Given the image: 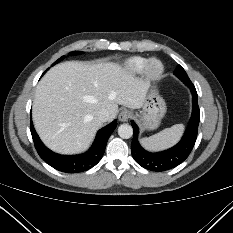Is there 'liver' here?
Here are the masks:
<instances>
[{
  "label": "liver",
  "mask_w": 233,
  "mask_h": 233,
  "mask_svg": "<svg viewBox=\"0 0 233 233\" xmlns=\"http://www.w3.org/2000/svg\"><path fill=\"white\" fill-rule=\"evenodd\" d=\"M149 85L117 63L68 61L52 67L36 87L32 107L35 129L44 144L60 154L85 151L102 122L118 113V104L139 109Z\"/></svg>",
  "instance_id": "liver-1"
}]
</instances>
